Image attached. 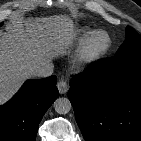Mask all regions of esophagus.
Returning a JSON list of instances; mask_svg holds the SVG:
<instances>
[{
    "mask_svg": "<svg viewBox=\"0 0 141 141\" xmlns=\"http://www.w3.org/2000/svg\"><path fill=\"white\" fill-rule=\"evenodd\" d=\"M57 88L60 94H65L68 91V84L65 80H61L57 83Z\"/></svg>",
    "mask_w": 141,
    "mask_h": 141,
    "instance_id": "1",
    "label": "esophagus"
}]
</instances>
